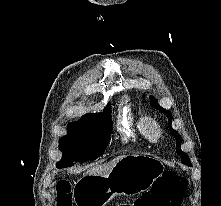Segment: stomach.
Listing matches in <instances>:
<instances>
[{
    "label": "stomach",
    "instance_id": "1",
    "mask_svg": "<svg viewBox=\"0 0 221 206\" xmlns=\"http://www.w3.org/2000/svg\"><path fill=\"white\" fill-rule=\"evenodd\" d=\"M164 171L163 162L151 156L128 155L120 159L104 176L85 174L77 197L80 206H105L116 195L137 194L150 188Z\"/></svg>",
    "mask_w": 221,
    "mask_h": 206
}]
</instances>
